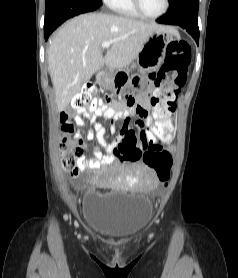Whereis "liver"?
Here are the masks:
<instances>
[{"label":"liver","instance_id":"obj_1","mask_svg":"<svg viewBox=\"0 0 238 278\" xmlns=\"http://www.w3.org/2000/svg\"><path fill=\"white\" fill-rule=\"evenodd\" d=\"M164 26L103 13H87L67 21L50 41L49 73L58 111L67 108L104 65L122 69L137 57L149 35ZM112 41L106 56L101 44Z\"/></svg>","mask_w":238,"mask_h":278}]
</instances>
